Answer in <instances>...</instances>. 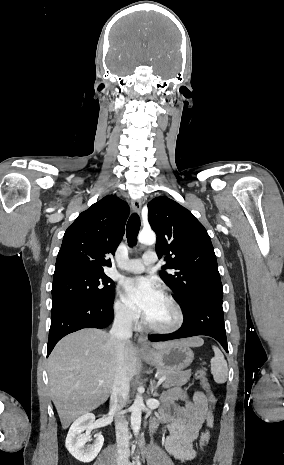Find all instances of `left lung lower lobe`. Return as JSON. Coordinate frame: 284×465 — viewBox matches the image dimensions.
<instances>
[{
  "instance_id": "obj_1",
  "label": "left lung lower lobe",
  "mask_w": 284,
  "mask_h": 465,
  "mask_svg": "<svg viewBox=\"0 0 284 465\" xmlns=\"http://www.w3.org/2000/svg\"><path fill=\"white\" fill-rule=\"evenodd\" d=\"M182 305L184 322L181 328L167 335H151L149 340L156 342L206 335L215 338L228 352L222 299L195 297Z\"/></svg>"
}]
</instances>
